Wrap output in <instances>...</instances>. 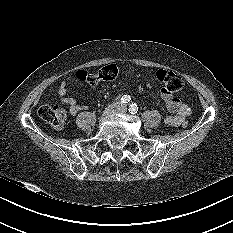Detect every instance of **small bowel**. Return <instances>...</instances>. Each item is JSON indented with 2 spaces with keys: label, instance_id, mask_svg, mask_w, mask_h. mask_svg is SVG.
Here are the masks:
<instances>
[{
  "label": "small bowel",
  "instance_id": "obj_1",
  "mask_svg": "<svg viewBox=\"0 0 233 233\" xmlns=\"http://www.w3.org/2000/svg\"><path fill=\"white\" fill-rule=\"evenodd\" d=\"M68 78L66 81H62L58 95L61 101L69 106V112L72 115H76L82 110H87L88 106L78 103L74 98L67 95L68 92ZM161 97L165 102L167 110L172 114L167 116L164 120L167 126L178 127L182 125L185 120L191 115V109L188 105L184 104L179 98L169 94L161 89Z\"/></svg>",
  "mask_w": 233,
  "mask_h": 233
}]
</instances>
